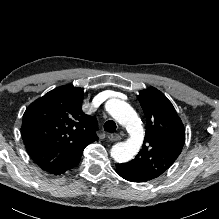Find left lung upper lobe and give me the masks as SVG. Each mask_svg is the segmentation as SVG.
Wrapping results in <instances>:
<instances>
[{
  "instance_id": "obj_1",
  "label": "left lung upper lobe",
  "mask_w": 219,
  "mask_h": 219,
  "mask_svg": "<svg viewBox=\"0 0 219 219\" xmlns=\"http://www.w3.org/2000/svg\"><path fill=\"white\" fill-rule=\"evenodd\" d=\"M146 116L142 149L130 162L121 165L153 180L163 174L178 158L185 142V129L172 103L154 87L137 96Z\"/></svg>"
}]
</instances>
